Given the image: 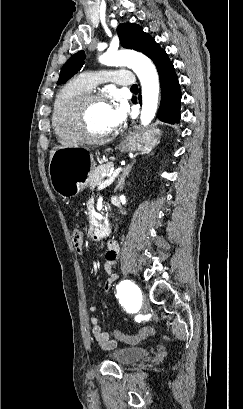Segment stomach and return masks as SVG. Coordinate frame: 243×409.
<instances>
[{
    "label": "stomach",
    "instance_id": "1",
    "mask_svg": "<svg viewBox=\"0 0 243 409\" xmlns=\"http://www.w3.org/2000/svg\"><path fill=\"white\" fill-rule=\"evenodd\" d=\"M161 132L151 128L143 133L131 132L118 145L123 152H149L158 143ZM95 169L93 156L87 151L73 148H60L52 155L49 163V176L53 189L61 196L78 194L88 184V177Z\"/></svg>",
    "mask_w": 243,
    "mask_h": 409
}]
</instances>
